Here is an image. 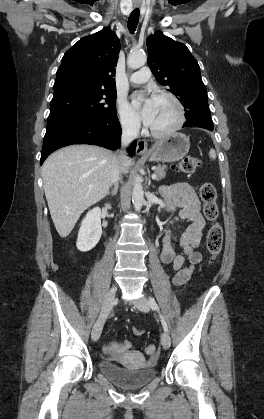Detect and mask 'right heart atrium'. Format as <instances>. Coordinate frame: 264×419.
Returning a JSON list of instances; mask_svg holds the SVG:
<instances>
[{
    "label": "right heart atrium",
    "mask_w": 264,
    "mask_h": 419,
    "mask_svg": "<svg viewBox=\"0 0 264 419\" xmlns=\"http://www.w3.org/2000/svg\"><path fill=\"white\" fill-rule=\"evenodd\" d=\"M116 107L122 128L129 133H137L140 129V121L128 103L124 99L118 98Z\"/></svg>",
    "instance_id": "1"
}]
</instances>
